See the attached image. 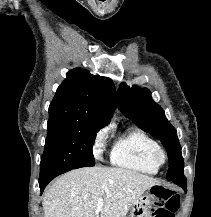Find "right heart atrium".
Segmentation results:
<instances>
[{
	"mask_svg": "<svg viewBox=\"0 0 211 217\" xmlns=\"http://www.w3.org/2000/svg\"><path fill=\"white\" fill-rule=\"evenodd\" d=\"M108 135V127H103L96 132L93 140V153L95 156L100 157L105 151L107 147Z\"/></svg>",
	"mask_w": 211,
	"mask_h": 217,
	"instance_id": "obj_1",
	"label": "right heart atrium"
}]
</instances>
